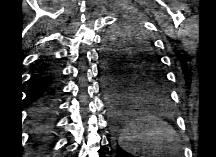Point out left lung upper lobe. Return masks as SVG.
Returning a JSON list of instances; mask_svg holds the SVG:
<instances>
[{
  "label": "left lung upper lobe",
  "instance_id": "left-lung-upper-lobe-1",
  "mask_svg": "<svg viewBox=\"0 0 216 157\" xmlns=\"http://www.w3.org/2000/svg\"><path fill=\"white\" fill-rule=\"evenodd\" d=\"M103 51L112 77L119 79L133 95L166 96L167 77L161 58L136 22L126 19L109 30Z\"/></svg>",
  "mask_w": 216,
  "mask_h": 157
}]
</instances>
